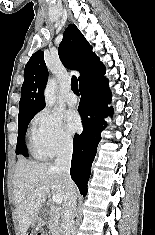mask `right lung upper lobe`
<instances>
[{"label":"right lung upper lobe","mask_w":155,"mask_h":235,"mask_svg":"<svg viewBox=\"0 0 155 235\" xmlns=\"http://www.w3.org/2000/svg\"><path fill=\"white\" fill-rule=\"evenodd\" d=\"M58 53L66 67L80 72L79 86L105 73V67L92 52V46L74 24H70L65 30ZM47 79L48 70L43 51H38L31 56L25 66L19 117L37 113L45 107L44 88Z\"/></svg>","instance_id":"cb5924a9"}]
</instances>
